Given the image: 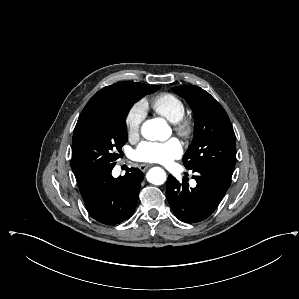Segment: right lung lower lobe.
I'll return each mask as SVG.
<instances>
[{
	"label": "right lung lower lobe",
	"mask_w": 299,
	"mask_h": 299,
	"mask_svg": "<svg viewBox=\"0 0 299 299\" xmlns=\"http://www.w3.org/2000/svg\"><path fill=\"white\" fill-rule=\"evenodd\" d=\"M112 169L78 185L89 214L106 225H115L132 215L144 177L140 169L128 168L124 176L113 178Z\"/></svg>",
	"instance_id": "1"
}]
</instances>
